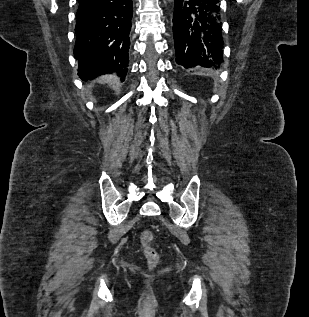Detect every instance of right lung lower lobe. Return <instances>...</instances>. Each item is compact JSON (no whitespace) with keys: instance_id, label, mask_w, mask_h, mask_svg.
I'll return each instance as SVG.
<instances>
[{"instance_id":"obj_1","label":"right lung lower lobe","mask_w":309,"mask_h":317,"mask_svg":"<svg viewBox=\"0 0 309 317\" xmlns=\"http://www.w3.org/2000/svg\"><path fill=\"white\" fill-rule=\"evenodd\" d=\"M132 0H79L74 57L82 80L128 71Z\"/></svg>"}]
</instances>
